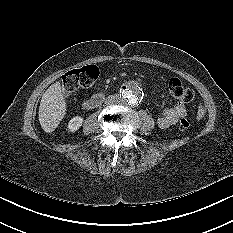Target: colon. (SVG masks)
Masks as SVG:
<instances>
[{
  "label": "colon",
  "mask_w": 233,
  "mask_h": 233,
  "mask_svg": "<svg viewBox=\"0 0 233 233\" xmlns=\"http://www.w3.org/2000/svg\"><path fill=\"white\" fill-rule=\"evenodd\" d=\"M99 75V70L95 65H87L81 68L68 71L62 77V90L65 96H70L73 92L80 88L91 86ZM170 94L183 102H192L195 98L193 88L180 80L179 78H171L168 83ZM190 123L187 119L182 118L179 122V128L182 131L189 129Z\"/></svg>",
  "instance_id": "5ec220e1"
}]
</instances>
